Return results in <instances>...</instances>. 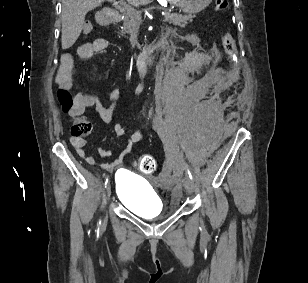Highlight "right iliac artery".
I'll return each instance as SVG.
<instances>
[{"label":"right iliac artery","instance_id":"obj_1","mask_svg":"<svg viewBox=\"0 0 308 283\" xmlns=\"http://www.w3.org/2000/svg\"><path fill=\"white\" fill-rule=\"evenodd\" d=\"M108 179H109V176H107L106 177V179H105V185L108 183ZM101 222H99V224H100Z\"/></svg>","mask_w":308,"mask_h":283}]
</instances>
